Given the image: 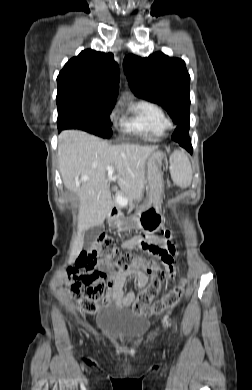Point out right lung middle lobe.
Listing matches in <instances>:
<instances>
[{
  "instance_id": "dd1d6c3e",
  "label": "right lung middle lobe",
  "mask_w": 252,
  "mask_h": 390,
  "mask_svg": "<svg viewBox=\"0 0 252 390\" xmlns=\"http://www.w3.org/2000/svg\"><path fill=\"white\" fill-rule=\"evenodd\" d=\"M112 108L113 106L106 104H64L57 106L58 132L74 128L109 138L112 135L109 119Z\"/></svg>"
}]
</instances>
